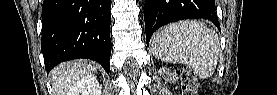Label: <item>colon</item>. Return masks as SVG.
<instances>
[{"label": "colon", "instance_id": "obj_1", "mask_svg": "<svg viewBox=\"0 0 277 95\" xmlns=\"http://www.w3.org/2000/svg\"><path fill=\"white\" fill-rule=\"evenodd\" d=\"M181 86L183 93L194 95L197 93L196 75L190 67H183L180 74Z\"/></svg>", "mask_w": 277, "mask_h": 95}]
</instances>
